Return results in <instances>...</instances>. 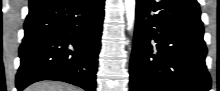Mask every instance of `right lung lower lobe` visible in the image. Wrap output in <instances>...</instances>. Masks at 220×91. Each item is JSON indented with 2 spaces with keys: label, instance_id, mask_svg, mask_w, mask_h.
I'll return each instance as SVG.
<instances>
[{
  "label": "right lung lower lobe",
  "instance_id": "98d812e1",
  "mask_svg": "<svg viewBox=\"0 0 220 91\" xmlns=\"http://www.w3.org/2000/svg\"><path fill=\"white\" fill-rule=\"evenodd\" d=\"M104 0H35L29 3L16 87L64 81L95 91Z\"/></svg>",
  "mask_w": 220,
  "mask_h": 91
}]
</instances>
